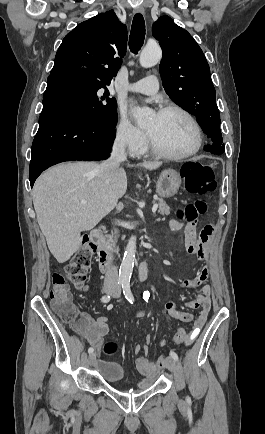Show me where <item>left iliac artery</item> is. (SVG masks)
<instances>
[{
    "mask_svg": "<svg viewBox=\"0 0 265 434\" xmlns=\"http://www.w3.org/2000/svg\"><path fill=\"white\" fill-rule=\"evenodd\" d=\"M122 289H123V294H124V296H125V298L131 303V304H133V302H134V297H133V294H132V292H131V290H130V283L129 282H124L123 283V285H122ZM170 356L175 360V361H178L179 360V358H178V355L174 352V351H170ZM190 398L188 397V400H189Z\"/></svg>",
    "mask_w": 265,
    "mask_h": 434,
    "instance_id": "left-iliac-artery-1",
    "label": "left iliac artery"
}]
</instances>
